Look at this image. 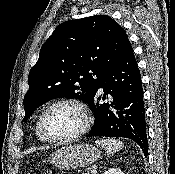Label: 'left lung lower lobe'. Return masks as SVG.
I'll return each instance as SVG.
<instances>
[{
    "label": "left lung lower lobe",
    "mask_w": 175,
    "mask_h": 174,
    "mask_svg": "<svg viewBox=\"0 0 175 174\" xmlns=\"http://www.w3.org/2000/svg\"><path fill=\"white\" fill-rule=\"evenodd\" d=\"M99 88L104 89L103 99L109 94L111 101L99 104ZM88 105L94 113L95 123L87 137L128 138L136 142L147 156L148 140L141 74L131 44L98 83Z\"/></svg>",
    "instance_id": "1"
}]
</instances>
